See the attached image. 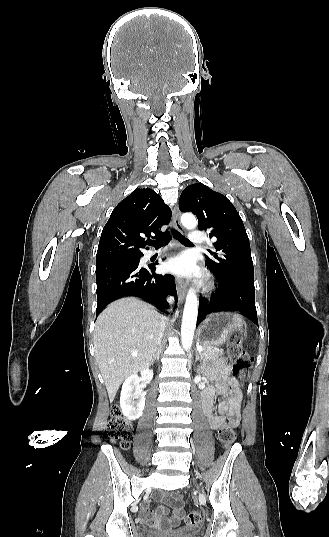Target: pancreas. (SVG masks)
Wrapping results in <instances>:
<instances>
[{"label": "pancreas", "instance_id": "cf45deb5", "mask_svg": "<svg viewBox=\"0 0 329 537\" xmlns=\"http://www.w3.org/2000/svg\"><path fill=\"white\" fill-rule=\"evenodd\" d=\"M221 354L222 350L210 345H204L203 350L200 351V355L204 361H215Z\"/></svg>", "mask_w": 329, "mask_h": 537}]
</instances>
